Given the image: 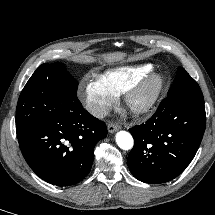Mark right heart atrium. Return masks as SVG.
Instances as JSON below:
<instances>
[{
	"label": "right heart atrium",
	"instance_id": "d8ad5b80",
	"mask_svg": "<svg viewBox=\"0 0 215 215\" xmlns=\"http://www.w3.org/2000/svg\"><path fill=\"white\" fill-rule=\"evenodd\" d=\"M78 94L86 110L96 118H103L116 102V95L97 76L85 78Z\"/></svg>",
	"mask_w": 215,
	"mask_h": 215
}]
</instances>
